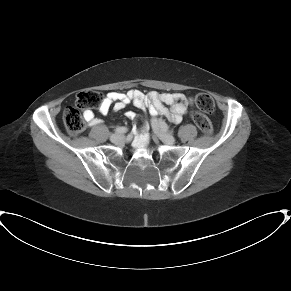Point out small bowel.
Here are the masks:
<instances>
[{
    "instance_id": "small-bowel-1",
    "label": "small bowel",
    "mask_w": 291,
    "mask_h": 291,
    "mask_svg": "<svg viewBox=\"0 0 291 291\" xmlns=\"http://www.w3.org/2000/svg\"><path fill=\"white\" fill-rule=\"evenodd\" d=\"M130 103L134 104L138 108H147L152 117L161 114L168 116L174 123H178L181 121L182 116L188 107L193 106V99L191 97H186L183 94L158 92H149L144 94L139 90L110 92L105 96L99 111L101 114L106 115L111 109L114 112H117ZM165 105H170V109H168ZM126 116L131 120L137 119V114L133 111H128ZM83 117L89 127H95L101 122L90 109L83 111ZM146 141L147 136L145 134H141L137 138L136 143H138L139 146H142Z\"/></svg>"
}]
</instances>
